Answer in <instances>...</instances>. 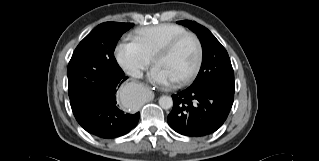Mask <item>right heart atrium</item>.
Wrapping results in <instances>:
<instances>
[{
  "label": "right heart atrium",
  "mask_w": 319,
  "mask_h": 161,
  "mask_svg": "<svg viewBox=\"0 0 319 161\" xmlns=\"http://www.w3.org/2000/svg\"><path fill=\"white\" fill-rule=\"evenodd\" d=\"M115 56L121 67L134 76L141 73L150 65L148 59L133 41H123L115 47Z\"/></svg>",
  "instance_id": "1"
}]
</instances>
